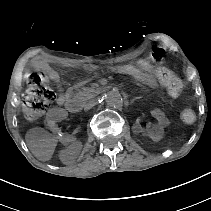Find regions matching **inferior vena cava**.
<instances>
[{
    "instance_id": "602c4592",
    "label": "inferior vena cava",
    "mask_w": 211,
    "mask_h": 211,
    "mask_svg": "<svg viewBox=\"0 0 211 211\" xmlns=\"http://www.w3.org/2000/svg\"><path fill=\"white\" fill-rule=\"evenodd\" d=\"M94 104L93 103H89L85 106V109H90Z\"/></svg>"
}]
</instances>
